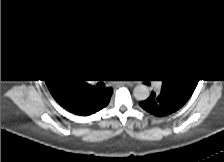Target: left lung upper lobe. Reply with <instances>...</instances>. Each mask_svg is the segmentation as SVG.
<instances>
[{"mask_svg":"<svg viewBox=\"0 0 224 162\" xmlns=\"http://www.w3.org/2000/svg\"><path fill=\"white\" fill-rule=\"evenodd\" d=\"M167 71L168 74L163 80L164 88L183 89L188 93H193L198 83L197 74L181 66L176 58L170 63Z\"/></svg>","mask_w":224,"mask_h":162,"instance_id":"obj_1","label":"left lung upper lobe"}]
</instances>
